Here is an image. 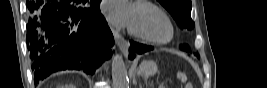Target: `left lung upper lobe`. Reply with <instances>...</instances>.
<instances>
[{"label":"left lung upper lobe","instance_id":"left-lung-upper-lobe-1","mask_svg":"<svg viewBox=\"0 0 267 88\" xmlns=\"http://www.w3.org/2000/svg\"><path fill=\"white\" fill-rule=\"evenodd\" d=\"M172 15L180 28L194 27L191 19V0H158Z\"/></svg>","mask_w":267,"mask_h":88}]
</instances>
